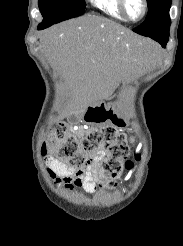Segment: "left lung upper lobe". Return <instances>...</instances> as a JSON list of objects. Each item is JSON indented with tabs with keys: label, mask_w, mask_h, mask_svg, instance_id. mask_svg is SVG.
Here are the masks:
<instances>
[{
	"label": "left lung upper lobe",
	"mask_w": 183,
	"mask_h": 246,
	"mask_svg": "<svg viewBox=\"0 0 183 246\" xmlns=\"http://www.w3.org/2000/svg\"><path fill=\"white\" fill-rule=\"evenodd\" d=\"M172 0H147L148 14L143 23L133 29L134 32L150 37L169 32L171 24L169 10Z\"/></svg>",
	"instance_id": "left-lung-upper-lobe-1"
}]
</instances>
